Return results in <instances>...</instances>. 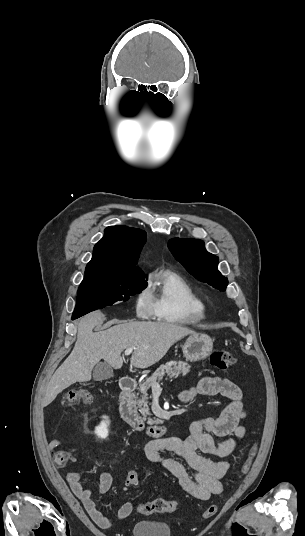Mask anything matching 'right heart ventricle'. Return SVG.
<instances>
[{"label":"right heart ventricle","mask_w":305,"mask_h":536,"mask_svg":"<svg viewBox=\"0 0 305 536\" xmlns=\"http://www.w3.org/2000/svg\"><path fill=\"white\" fill-rule=\"evenodd\" d=\"M154 312L160 320L196 324L206 318V305L189 283L172 271L156 273L149 285Z\"/></svg>","instance_id":"e07e8e85"}]
</instances>
